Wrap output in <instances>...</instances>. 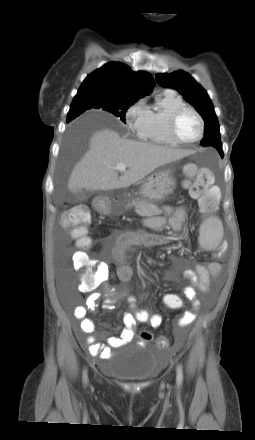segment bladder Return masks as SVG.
<instances>
[{"label":"bladder","instance_id":"1","mask_svg":"<svg viewBox=\"0 0 255 440\" xmlns=\"http://www.w3.org/2000/svg\"><path fill=\"white\" fill-rule=\"evenodd\" d=\"M156 355L144 345H136L115 361L111 374L125 382H143L156 375Z\"/></svg>","mask_w":255,"mask_h":440}]
</instances>
